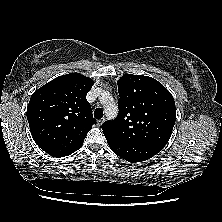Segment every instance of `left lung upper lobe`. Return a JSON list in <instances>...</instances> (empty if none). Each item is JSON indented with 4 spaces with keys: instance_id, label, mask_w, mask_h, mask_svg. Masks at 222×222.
Wrapping results in <instances>:
<instances>
[{
    "instance_id": "1",
    "label": "left lung upper lobe",
    "mask_w": 222,
    "mask_h": 222,
    "mask_svg": "<svg viewBox=\"0 0 222 222\" xmlns=\"http://www.w3.org/2000/svg\"><path fill=\"white\" fill-rule=\"evenodd\" d=\"M119 113L114 121L102 124L104 134L130 143L165 146L175 120V101L157 80L125 74L117 82Z\"/></svg>"
}]
</instances>
